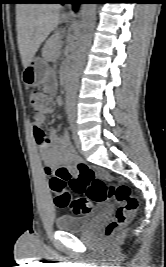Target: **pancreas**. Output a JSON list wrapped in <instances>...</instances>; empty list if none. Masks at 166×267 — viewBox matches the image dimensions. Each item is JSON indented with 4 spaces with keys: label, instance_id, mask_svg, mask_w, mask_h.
<instances>
[{
    "label": "pancreas",
    "instance_id": "1",
    "mask_svg": "<svg viewBox=\"0 0 166 267\" xmlns=\"http://www.w3.org/2000/svg\"><path fill=\"white\" fill-rule=\"evenodd\" d=\"M61 38L59 34H54L48 39L42 51L44 60L53 61L58 57L61 47Z\"/></svg>",
    "mask_w": 166,
    "mask_h": 267
}]
</instances>
